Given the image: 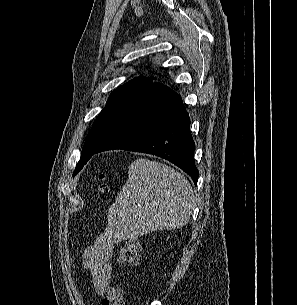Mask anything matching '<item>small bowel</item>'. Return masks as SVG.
<instances>
[{"label": "small bowel", "instance_id": "obj_1", "mask_svg": "<svg viewBox=\"0 0 297 305\" xmlns=\"http://www.w3.org/2000/svg\"><path fill=\"white\" fill-rule=\"evenodd\" d=\"M117 237L108 229H104L93 242L82 252L83 266L98 295L111 284V257L117 244Z\"/></svg>", "mask_w": 297, "mask_h": 305}]
</instances>
